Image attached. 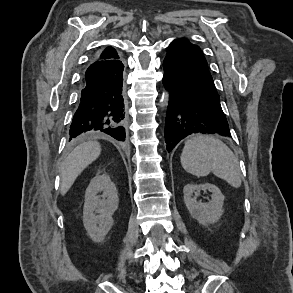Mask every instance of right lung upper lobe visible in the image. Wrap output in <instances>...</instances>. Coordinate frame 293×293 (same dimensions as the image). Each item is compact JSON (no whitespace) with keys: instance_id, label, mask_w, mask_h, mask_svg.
<instances>
[{"instance_id":"obj_1","label":"right lung upper lobe","mask_w":293,"mask_h":293,"mask_svg":"<svg viewBox=\"0 0 293 293\" xmlns=\"http://www.w3.org/2000/svg\"><path fill=\"white\" fill-rule=\"evenodd\" d=\"M119 60L116 50L112 47H107L100 55H97L94 62Z\"/></svg>"}]
</instances>
